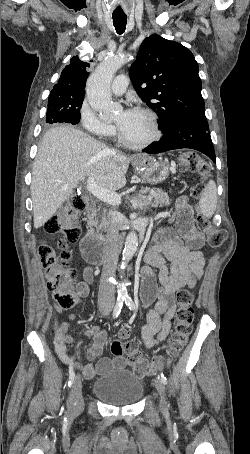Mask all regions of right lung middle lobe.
Here are the masks:
<instances>
[{"mask_svg":"<svg viewBox=\"0 0 250 454\" xmlns=\"http://www.w3.org/2000/svg\"><path fill=\"white\" fill-rule=\"evenodd\" d=\"M83 99V97L76 100L59 98L57 96L49 97L46 123L66 122L77 124L80 120V108Z\"/></svg>","mask_w":250,"mask_h":454,"instance_id":"obj_1","label":"right lung middle lobe"}]
</instances>
